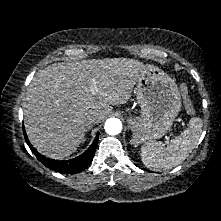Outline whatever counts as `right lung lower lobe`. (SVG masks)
<instances>
[{
  "instance_id": "98d812e1",
  "label": "right lung lower lobe",
  "mask_w": 221,
  "mask_h": 221,
  "mask_svg": "<svg viewBox=\"0 0 221 221\" xmlns=\"http://www.w3.org/2000/svg\"><path fill=\"white\" fill-rule=\"evenodd\" d=\"M23 132H24L25 141L30 147L31 151L36 156V158L46 167L63 174H75L83 171L91 163L98 143V134H97L93 143L83 154L70 160L58 161L46 158L43 155H41L39 152H37L35 148L30 144L26 136L25 130H23Z\"/></svg>"
}]
</instances>
